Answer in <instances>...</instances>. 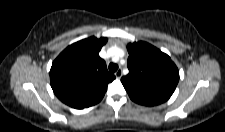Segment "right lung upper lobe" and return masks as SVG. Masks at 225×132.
<instances>
[{
    "mask_svg": "<svg viewBox=\"0 0 225 132\" xmlns=\"http://www.w3.org/2000/svg\"><path fill=\"white\" fill-rule=\"evenodd\" d=\"M107 38L90 37L68 46L54 60L50 69L55 95L75 109L93 106L103 98L115 76L99 57Z\"/></svg>",
    "mask_w": 225,
    "mask_h": 132,
    "instance_id": "cb5924a9",
    "label": "right lung upper lobe"
}]
</instances>
